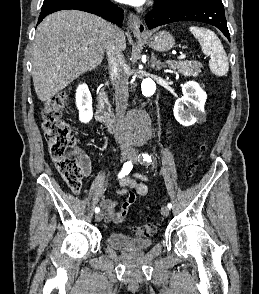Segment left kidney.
<instances>
[{
  "label": "left kidney",
  "mask_w": 259,
  "mask_h": 294,
  "mask_svg": "<svg viewBox=\"0 0 259 294\" xmlns=\"http://www.w3.org/2000/svg\"><path fill=\"white\" fill-rule=\"evenodd\" d=\"M182 92L183 97L175 102L174 116L181 125L191 126L204 117L207 95L195 81L186 82L182 86ZM185 105L187 109H184Z\"/></svg>",
  "instance_id": "5707ae66"
}]
</instances>
